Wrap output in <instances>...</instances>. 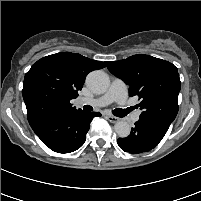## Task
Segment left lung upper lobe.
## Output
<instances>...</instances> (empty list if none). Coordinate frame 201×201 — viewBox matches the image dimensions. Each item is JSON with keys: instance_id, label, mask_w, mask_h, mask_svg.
Returning <instances> with one entry per match:
<instances>
[{"instance_id": "1", "label": "left lung upper lobe", "mask_w": 201, "mask_h": 201, "mask_svg": "<svg viewBox=\"0 0 201 201\" xmlns=\"http://www.w3.org/2000/svg\"><path fill=\"white\" fill-rule=\"evenodd\" d=\"M109 71L130 86V96H139L140 119L172 122L178 113L181 82L170 62L149 55H133L125 60L106 62Z\"/></svg>"}]
</instances>
